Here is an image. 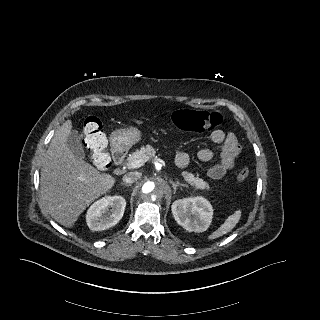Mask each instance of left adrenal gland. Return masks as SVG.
I'll list each match as a JSON object with an SVG mask.
<instances>
[{
    "label": "left adrenal gland",
    "mask_w": 320,
    "mask_h": 320,
    "mask_svg": "<svg viewBox=\"0 0 320 320\" xmlns=\"http://www.w3.org/2000/svg\"><path fill=\"white\" fill-rule=\"evenodd\" d=\"M170 183L172 184V187H173L174 191H176L177 187H186V188H188L187 184H182V183H179L178 181L174 182V181L170 180Z\"/></svg>",
    "instance_id": "obj_1"
}]
</instances>
